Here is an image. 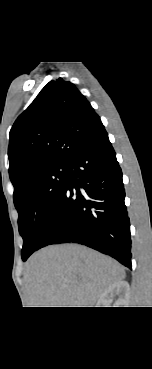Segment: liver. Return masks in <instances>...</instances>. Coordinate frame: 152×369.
<instances>
[{"label":"liver","instance_id":"obj_1","mask_svg":"<svg viewBox=\"0 0 152 369\" xmlns=\"http://www.w3.org/2000/svg\"><path fill=\"white\" fill-rule=\"evenodd\" d=\"M124 278L118 262L77 244L39 250L24 274L30 307H93L108 287Z\"/></svg>","mask_w":152,"mask_h":369}]
</instances>
